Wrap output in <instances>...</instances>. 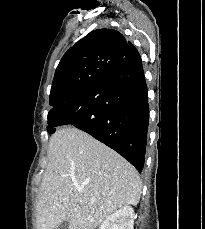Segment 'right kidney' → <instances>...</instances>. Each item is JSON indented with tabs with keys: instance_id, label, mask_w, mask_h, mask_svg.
<instances>
[{
	"instance_id": "1",
	"label": "right kidney",
	"mask_w": 205,
	"mask_h": 229,
	"mask_svg": "<svg viewBox=\"0 0 205 229\" xmlns=\"http://www.w3.org/2000/svg\"><path fill=\"white\" fill-rule=\"evenodd\" d=\"M134 210L130 206H124L107 217L99 229H133Z\"/></svg>"
}]
</instances>
